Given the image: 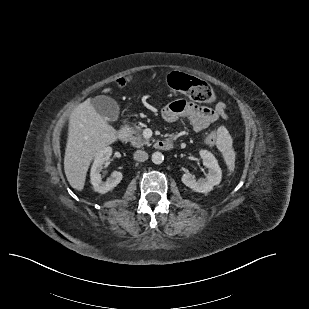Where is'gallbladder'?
<instances>
[{
  "mask_svg": "<svg viewBox=\"0 0 309 309\" xmlns=\"http://www.w3.org/2000/svg\"><path fill=\"white\" fill-rule=\"evenodd\" d=\"M92 105L101 116L109 121H116L119 117V106L111 97L96 96L92 99Z\"/></svg>",
  "mask_w": 309,
  "mask_h": 309,
  "instance_id": "bac80fb5",
  "label": "gallbladder"
}]
</instances>
